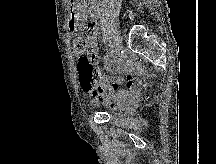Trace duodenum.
<instances>
[{
  "mask_svg": "<svg viewBox=\"0 0 216 164\" xmlns=\"http://www.w3.org/2000/svg\"><path fill=\"white\" fill-rule=\"evenodd\" d=\"M91 13L94 17H99L100 15V0H93L91 5Z\"/></svg>",
  "mask_w": 216,
  "mask_h": 164,
  "instance_id": "duodenum-1",
  "label": "duodenum"
}]
</instances>
